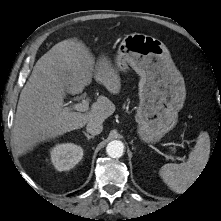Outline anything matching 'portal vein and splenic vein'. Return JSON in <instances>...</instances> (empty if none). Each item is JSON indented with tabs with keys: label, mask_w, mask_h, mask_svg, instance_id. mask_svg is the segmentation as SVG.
I'll return each mask as SVG.
<instances>
[{
	"label": "portal vein and splenic vein",
	"mask_w": 221,
	"mask_h": 221,
	"mask_svg": "<svg viewBox=\"0 0 221 221\" xmlns=\"http://www.w3.org/2000/svg\"><path fill=\"white\" fill-rule=\"evenodd\" d=\"M74 109L80 112H88L89 110V100L88 99H83L81 103H77L74 105ZM165 157L167 159H171V160H180L181 158L179 157H174L172 155L169 154H165Z\"/></svg>",
	"instance_id": "obj_1"
}]
</instances>
